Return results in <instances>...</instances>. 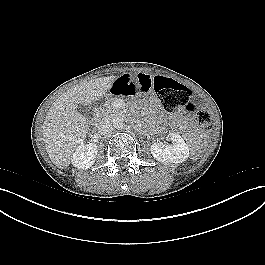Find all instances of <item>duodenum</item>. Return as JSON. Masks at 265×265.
<instances>
[{
  "label": "duodenum",
  "mask_w": 265,
  "mask_h": 265,
  "mask_svg": "<svg viewBox=\"0 0 265 265\" xmlns=\"http://www.w3.org/2000/svg\"><path fill=\"white\" fill-rule=\"evenodd\" d=\"M96 114L99 115V112L97 111Z\"/></svg>",
  "instance_id": "410a0bca"
}]
</instances>
